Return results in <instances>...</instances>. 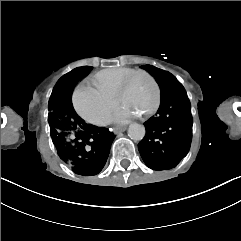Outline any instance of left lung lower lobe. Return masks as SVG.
<instances>
[{"label":"left lung lower lobe","instance_id":"left-lung-lower-lobe-1","mask_svg":"<svg viewBox=\"0 0 241 241\" xmlns=\"http://www.w3.org/2000/svg\"><path fill=\"white\" fill-rule=\"evenodd\" d=\"M191 105L183 87L161 95L155 116L144 123L146 135L138 144L144 163L153 170L175 167L191 144Z\"/></svg>","mask_w":241,"mask_h":241}]
</instances>
